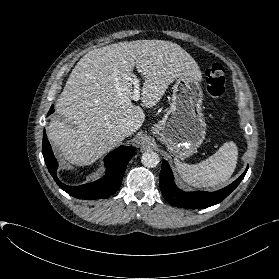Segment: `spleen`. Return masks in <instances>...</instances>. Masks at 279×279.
<instances>
[{
  "mask_svg": "<svg viewBox=\"0 0 279 279\" xmlns=\"http://www.w3.org/2000/svg\"><path fill=\"white\" fill-rule=\"evenodd\" d=\"M238 159L234 142L224 143L219 150L198 164L189 165L175 160L180 177L196 188L213 187L227 181L233 174Z\"/></svg>",
  "mask_w": 279,
  "mask_h": 279,
  "instance_id": "spleen-1",
  "label": "spleen"
}]
</instances>
